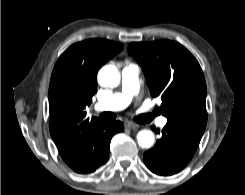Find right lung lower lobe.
Returning a JSON list of instances; mask_svg holds the SVG:
<instances>
[{"instance_id":"right-lung-lower-lobe-1","label":"right lung lower lobe","mask_w":245,"mask_h":195,"mask_svg":"<svg viewBox=\"0 0 245 195\" xmlns=\"http://www.w3.org/2000/svg\"><path fill=\"white\" fill-rule=\"evenodd\" d=\"M123 129L124 125L120 121L99 123L93 132L87 158L81 165L71 168L77 173L86 174L94 172L107 161L113 135Z\"/></svg>"}]
</instances>
